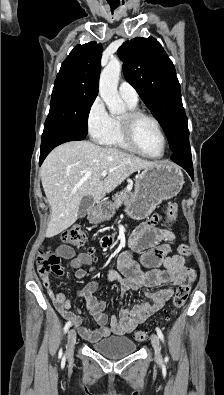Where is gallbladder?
I'll return each mask as SVG.
<instances>
[{
	"instance_id": "bac80fb5",
	"label": "gallbladder",
	"mask_w": 224,
	"mask_h": 395,
	"mask_svg": "<svg viewBox=\"0 0 224 395\" xmlns=\"http://www.w3.org/2000/svg\"><path fill=\"white\" fill-rule=\"evenodd\" d=\"M93 204V198L89 195L84 196L80 202L79 209H78V217L83 218L86 216L88 209Z\"/></svg>"
}]
</instances>
